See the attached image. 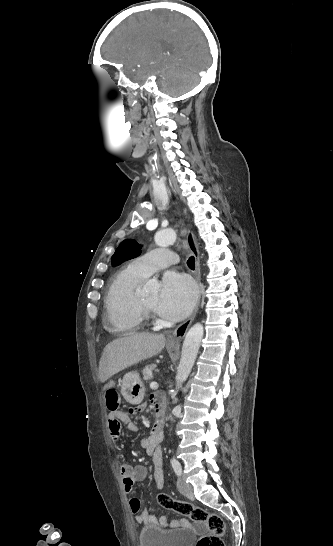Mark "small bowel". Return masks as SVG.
<instances>
[{
	"instance_id": "obj_1",
	"label": "small bowel",
	"mask_w": 333,
	"mask_h": 546,
	"mask_svg": "<svg viewBox=\"0 0 333 546\" xmlns=\"http://www.w3.org/2000/svg\"><path fill=\"white\" fill-rule=\"evenodd\" d=\"M107 391L115 388L117 382L115 379L110 378L106 382ZM150 402L152 407L155 410L156 416L164 415V398L161 394H153L150 396ZM108 428L111 437L116 440L120 436V424H125L129 430L137 431V425L130 419V417L119 410L109 411L107 416ZM162 437H157L152 432L149 437H143L139 439V445L143 448L148 455H151L153 458V479L155 486L158 488L163 487L164 485V473H163V453L162 449L159 446L162 441ZM120 475L125 487V490L128 494L132 495L134 493V484L137 481L143 480L147 475L146 467L142 465L132 466L129 464H122L119 468ZM130 510L135 515V521L139 524H153L161 528L167 527H179L182 526L186 521L177 520L169 522L166 516H161L157 519L151 512L148 507L141 509V503L138 499L132 498L130 500Z\"/></svg>"
}]
</instances>
